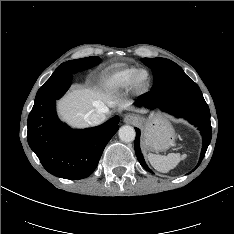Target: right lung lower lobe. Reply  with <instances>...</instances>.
I'll use <instances>...</instances> for the list:
<instances>
[{
	"mask_svg": "<svg viewBox=\"0 0 234 234\" xmlns=\"http://www.w3.org/2000/svg\"><path fill=\"white\" fill-rule=\"evenodd\" d=\"M72 74L55 71L38 90L28 116L27 139L49 173L77 180L95 170L105 146L119 129V117L84 130H73L60 122L55 103L70 87Z\"/></svg>",
	"mask_w": 234,
	"mask_h": 234,
	"instance_id": "1",
	"label": "right lung lower lobe"
}]
</instances>
